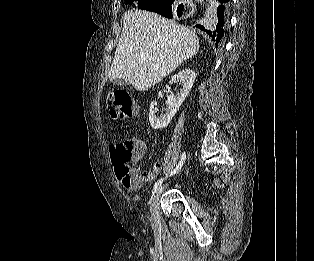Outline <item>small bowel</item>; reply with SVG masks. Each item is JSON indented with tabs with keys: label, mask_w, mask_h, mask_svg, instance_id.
Masks as SVG:
<instances>
[{
	"label": "small bowel",
	"mask_w": 314,
	"mask_h": 261,
	"mask_svg": "<svg viewBox=\"0 0 314 261\" xmlns=\"http://www.w3.org/2000/svg\"><path fill=\"white\" fill-rule=\"evenodd\" d=\"M139 142L142 146V152L137 156V160H141L143 158L144 153H145V149H146L145 144L140 140H139ZM161 170H162V164L160 162H156V163H154V165L152 167V171H150V172H141L139 170H137V171L140 172L141 174H143V176H144L143 182H149V181L153 180L156 177V175L161 172Z\"/></svg>",
	"instance_id": "small-bowel-1"
}]
</instances>
